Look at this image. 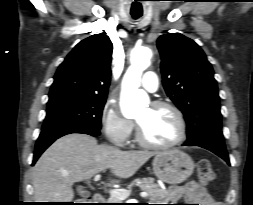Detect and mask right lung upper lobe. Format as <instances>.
<instances>
[{
    "label": "right lung upper lobe",
    "mask_w": 253,
    "mask_h": 205,
    "mask_svg": "<svg viewBox=\"0 0 253 205\" xmlns=\"http://www.w3.org/2000/svg\"><path fill=\"white\" fill-rule=\"evenodd\" d=\"M112 51V42L104 33L78 43L59 66L49 100L67 96L106 97Z\"/></svg>",
    "instance_id": "right-lung-upper-lobe-1"
}]
</instances>
